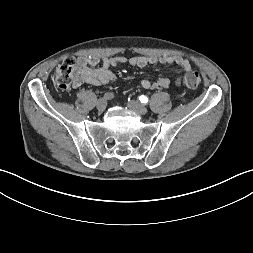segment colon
<instances>
[{
	"instance_id": "1",
	"label": "colon",
	"mask_w": 253,
	"mask_h": 253,
	"mask_svg": "<svg viewBox=\"0 0 253 253\" xmlns=\"http://www.w3.org/2000/svg\"><path fill=\"white\" fill-rule=\"evenodd\" d=\"M81 70V66L73 57L64 59L61 64L56 68L52 81L53 84L61 90H70L75 84V75ZM201 82V75L197 71L186 73L182 77L184 87L194 89L198 87Z\"/></svg>"
}]
</instances>
